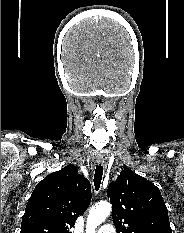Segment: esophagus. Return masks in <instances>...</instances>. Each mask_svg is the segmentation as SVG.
<instances>
[{"instance_id":"1","label":"esophagus","mask_w":184,"mask_h":233,"mask_svg":"<svg viewBox=\"0 0 184 233\" xmlns=\"http://www.w3.org/2000/svg\"><path fill=\"white\" fill-rule=\"evenodd\" d=\"M96 163L99 164V165H100V164H103V163H104V159L98 157V158H96Z\"/></svg>"}]
</instances>
